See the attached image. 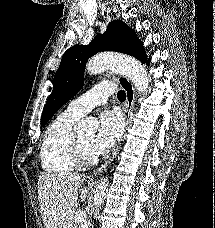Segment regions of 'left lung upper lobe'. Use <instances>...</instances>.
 Listing matches in <instances>:
<instances>
[{
    "label": "left lung upper lobe",
    "instance_id": "1",
    "mask_svg": "<svg viewBox=\"0 0 215 228\" xmlns=\"http://www.w3.org/2000/svg\"><path fill=\"white\" fill-rule=\"evenodd\" d=\"M102 51H117L131 55L141 62L147 60L143 43L135 31L121 20L112 21L103 34H98L88 46L75 45L62 56L55 73L54 88L44 107L41 125L82 88L85 65L91 56Z\"/></svg>",
    "mask_w": 215,
    "mask_h": 228
}]
</instances>
